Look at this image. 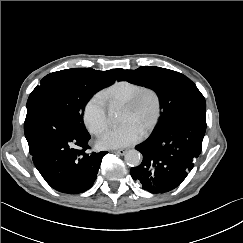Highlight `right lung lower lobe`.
I'll return each instance as SVG.
<instances>
[{
  "mask_svg": "<svg viewBox=\"0 0 243 243\" xmlns=\"http://www.w3.org/2000/svg\"><path fill=\"white\" fill-rule=\"evenodd\" d=\"M24 132L37 170L55 190L79 194L92 187L106 151L88 153L90 135L52 106L27 107Z\"/></svg>",
  "mask_w": 243,
  "mask_h": 243,
  "instance_id": "obj_1",
  "label": "right lung lower lobe"
}]
</instances>
